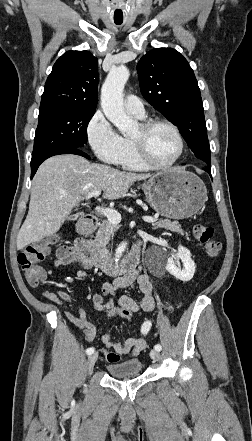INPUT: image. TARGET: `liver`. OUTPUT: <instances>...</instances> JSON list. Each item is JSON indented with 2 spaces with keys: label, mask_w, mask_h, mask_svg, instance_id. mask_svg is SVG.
Returning <instances> with one entry per match:
<instances>
[{
  "label": "liver",
  "mask_w": 252,
  "mask_h": 441,
  "mask_svg": "<svg viewBox=\"0 0 252 441\" xmlns=\"http://www.w3.org/2000/svg\"><path fill=\"white\" fill-rule=\"evenodd\" d=\"M149 177L90 163L76 155L50 157L33 178L29 211L17 236V249L55 234L88 193L104 191V199L116 200L134 182Z\"/></svg>",
  "instance_id": "6515ba94"
}]
</instances>
